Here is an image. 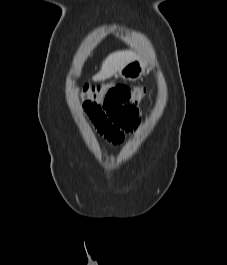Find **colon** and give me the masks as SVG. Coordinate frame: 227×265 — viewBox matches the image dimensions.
<instances>
[{
	"label": "colon",
	"instance_id": "colon-1",
	"mask_svg": "<svg viewBox=\"0 0 227 265\" xmlns=\"http://www.w3.org/2000/svg\"><path fill=\"white\" fill-rule=\"evenodd\" d=\"M77 91L83 102H101L106 116L114 120V126L123 131L133 130L139 122L137 105L145 97L142 87L125 83L82 85Z\"/></svg>",
	"mask_w": 227,
	"mask_h": 265
}]
</instances>
